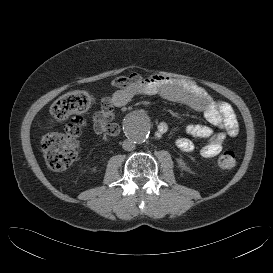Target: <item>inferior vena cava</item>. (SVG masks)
<instances>
[{
  "label": "inferior vena cava",
  "instance_id": "1",
  "mask_svg": "<svg viewBox=\"0 0 273 273\" xmlns=\"http://www.w3.org/2000/svg\"><path fill=\"white\" fill-rule=\"evenodd\" d=\"M122 147L125 151H131L134 149V144L130 140H124L122 142Z\"/></svg>",
  "mask_w": 273,
  "mask_h": 273
}]
</instances>
